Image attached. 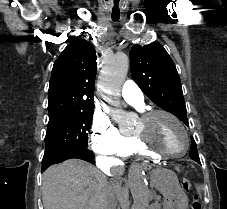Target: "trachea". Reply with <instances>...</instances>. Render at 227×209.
<instances>
[{"mask_svg": "<svg viewBox=\"0 0 227 209\" xmlns=\"http://www.w3.org/2000/svg\"><path fill=\"white\" fill-rule=\"evenodd\" d=\"M111 18L113 22H117L120 18V13H112Z\"/></svg>", "mask_w": 227, "mask_h": 209, "instance_id": "3493384b", "label": "trachea"}]
</instances>
